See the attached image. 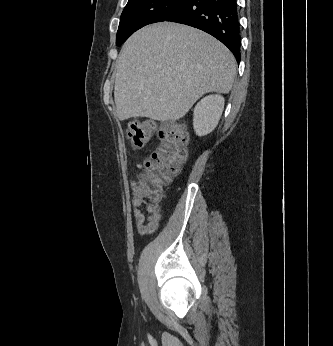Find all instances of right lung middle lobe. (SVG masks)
I'll list each match as a JSON object with an SVG mask.
<instances>
[{
	"instance_id": "obj_1",
	"label": "right lung middle lobe",
	"mask_w": 333,
	"mask_h": 346,
	"mask_svg": "<svg viewBox=\"0 0 333 346\" xmlns=\"http://www.w3.org/2000/svg\"><path fill=\"white\" fill-rule=\"evenodd\" d=\"M183 1L129 0L121 14L116 45H122L130 35L143 26L164 21Z\"/></svg>"
}]
</instances>
